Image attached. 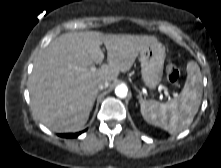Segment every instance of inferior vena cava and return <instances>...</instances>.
Here are the masks:
<instances>
[{"label":"inferior vena cava","instance_id":"1","mask_svg":"<svg viewBox=\"0 0 221 168\" xmlns=\"http://www.w3.org/2000/svg\"><path fill=\"white\" fill-rule=\"evenodd\" d=\"M108 85H109V82H108V81H104V82H102V83H100V84L98 85V89H99V90H103L104 88H107Z\"/></svg>","mask_w":221,"mask_h":168}]
</instances>
